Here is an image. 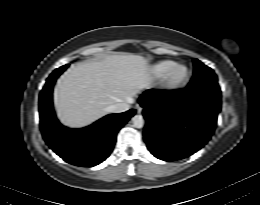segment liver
Here are the masks:
<instances>
[{
  "label": "liver",
  "mask_w": 260,
  "mask_h": 205,
  "mask_svg": "<svg viewBox=\"0 0 260 205\" xmlns=\"http://www.w3.org/2000/svg\"><path fill=\"white\" fill-rule=\"evenodd\" d=\"M149 85V65L139 55L123 53L80 63L56 84V112L65 126L81 128L102 118L107 107L131 102Z\"/></svg>",
  "instance_id": "1"
}]
</instances>
